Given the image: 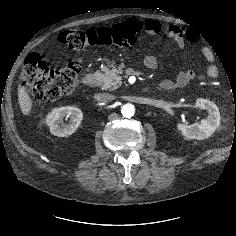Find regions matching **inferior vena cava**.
Returning a JSON list of instances; mask_svg holds the SVG:
<instances>
[{
	"mask_svg": "<svg viewBox=\"0 0 236 236\" xmlns=\"http://www.w3.org/2000/svg\"><path fill=\"white\" fill-rule=\"evenodd\" d=\"M97 100L107 103L115 99L114 95L109 93H99L96 96Z\"/></svg>",
	"mask_w": 236,
	"mask_h": 236,
	"instance_id": "obj_1",
	"label": "inferior vena cava"
}]
</instances>
